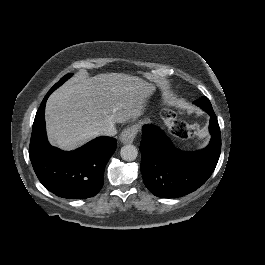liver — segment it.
Returning a JSON list of instances; mask_svg holds the SVG:
<instances>
[{"label":"liver","instance_id":"6515ba94","mask_svg":"<svg viewBox=\"0 0 265 265\" xmlns=\"http://www.w3.org/2000/svg\"><path fill=\"white\" fill-rule=\"evenodd\" d=\"M155 88L154 83L127 73L73 76L46 101L48 143L62 151L76 150L102 136L108 124L136 118Z\"/></svg>","mask_w":265,"mask_h":265}]
</instances>
